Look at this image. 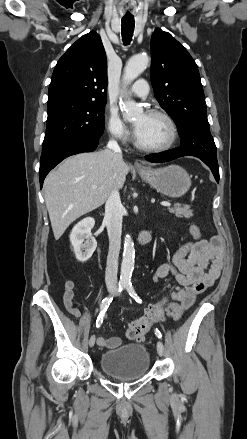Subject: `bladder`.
<instances>
[{
	"label": "bladder",
	"instance_id": "bladder-1",
	"mask_svg": "<svg viewBox=\"0 0 247 439\" xmlns=\"http://www.w3.org/2000/svg\"><path fill=\"white\" fill-rule=\"evenodd\" d=\"M101 370L118 380H135L143 377L150 368V357L142 344H126L106 351L100 358Z\"/></svg>",
	"mask_w": 247,
	"mask_h": 439
}]
</instances>
